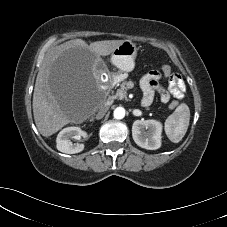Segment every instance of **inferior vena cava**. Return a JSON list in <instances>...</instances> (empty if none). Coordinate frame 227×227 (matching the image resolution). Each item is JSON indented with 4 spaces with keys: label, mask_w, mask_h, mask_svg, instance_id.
Masks as SVG:
<instances>
[{
    "label": "inferior vena cava",
    "mask_w": 227,
    "mask_h": 227,
    "mask_svg": "<svg viewBox=\"0 0 227 227\" xmlns=\"http://www.w3.org/2000/svg\"><path fill=\"white\" fill-rule=\"evenodd\" d=\"M107 111H108V107L106 105L100 106L99 109H98V113L96 115V118L101 119Z\"/></svg>",
    "instance_id": "inferior-vena-cava-1"
}]
</instances>
